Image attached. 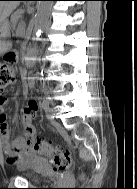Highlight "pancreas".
Wrapping results in <instances>:
<instances>
[{
    "label": "pancreas",
    "instance_id": "pancreas-1",
    "mask_svg": "<svg viewBox=\"0 0 137 189\" xmlns=\"http://www.w3.org/2000/svg\"><path fill=\"white\" fill-rule=\"evenodd\" d=\"M23 11L21 9H18L15 11L12 16H11V22L13 25V28H15L16 24L18 23L19 20L22 18Z\"/></svg>",
    "mask_w": 137,
    "mask_h": 189
}]
</instances>
